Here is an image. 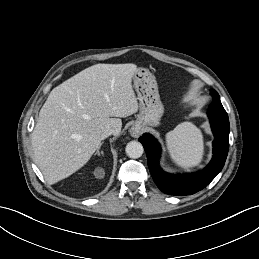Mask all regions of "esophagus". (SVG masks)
<instances>
[{"instance_id":"1","label":"esophagus","mask_w":259,"mask_h":259,"mask_svg":"<svg viewBox=\"0 0 259 259\" xmlns=\"http://www.w3.org/2000/svg\"><path fill=\"white\" fill-rule=\"evenodd\" d=\"M130 134L132 137L134 138H137L140 136L141 134V127L137 124L133 125L131 128H130Z\"/></svg>"}]
</instances>
